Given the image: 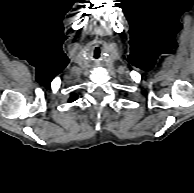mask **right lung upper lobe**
<instances>
[{
  "label": "right lung upper lobe",
  "mask_w": 194,
  "mask_h": 193,
  "mask_svg": "<svg viewBox=\"0 0 194 193\" xmlns=\"http://www.w3.org/2000/svg\"><path fill=\"white\" fill-rule=\"evenodd\" d=\"M78 98V96L75 93H71V96L69 98V102H73Z\"/></svg>",
  "instance_id": "1"
}]
</instances>
